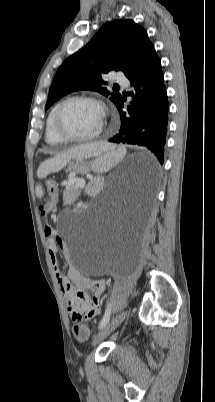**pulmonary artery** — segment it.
<instances>
[{"instance_id": "e3ab8cb5", "label": "pulmonary artery", "mask_w": 215, "mask_h": 402, "mask_svg": "<svg viewBox=\"0 0 215 402\" xmlns=\"http://www.w3.org/2000/svg\"><path fill=\"white\" fill-rule=\"evenodd\" d=\"M114 81L118 84L121 85H127L128 84V80L126 79V77L120 73L116 74L114 77Z\"/></svg>"}]
</instances>
